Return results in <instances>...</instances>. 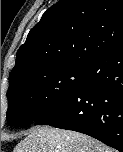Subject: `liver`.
<instances>
[{
    "instance_id": "1",
    "label": "liver",
    "mask_w": 123,
    "mask_h": 152,
    "mask_svg": "<svg viewBox=\"0 0 123 152\" xmlns=\"http://www.w3.org/2000/svg\"><path fill=\"white\" fill-rule=\"evenodd\" d=\"M14 152H112L100 141L70 130L50 126L32 128Z\"/></svg>"
}]
</instances>
